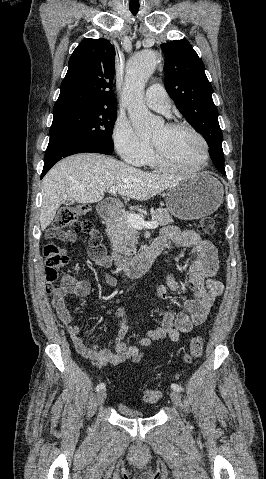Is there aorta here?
I'll return each mask as SVG.
<instances>
[{
  "label": "aorta",
  "instance_id": "762f6f07",
  "mask_svg": "<svg viewBox=\"0 0 266 479\" xmlns=\"http://www.w3.org/2000/svg\"><path fill=\"white\" fill-rule=\"evenodd\" d=\"M156 64L157 54L153 50L136 53L127 63L122 101L127 107L133 128L139 136H149L161 125V121L148 111L143 100L145 84Z\"/></svg>",
  "mask_w": 266,
  "mask_h": 479
}]
</instances>
